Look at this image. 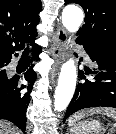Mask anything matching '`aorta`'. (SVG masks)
Instances as JSON below:
<instances>
[{"instance_id": "obj_1", "label": "aorta", "mask_w": 116, "mask_h": 134, "mask_svg": "<svg viewBox=\"0 0 116 134\" xmlns=\"http://www.w3.org/2000/svg\"><path fill=\"white\" fill-rule=\"evenodd\" d=\"M83 11L75 6L68 5L62 12V24L69 32H76L83 22ZM77 69L73 59H69L61 67L58 86L55 90L54 108L61 112L69 105L76 87Z\"/></svg>"}]
</instances>
